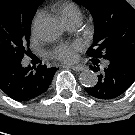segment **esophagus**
<instances>
[{"mask_svg": "<svg viewBox=\"0 0 135 135\" xmlns=\"http://www.w3.org/2000/svg\"><path fill=\"white\" fill-rule=\"evenodd\" d=\"M70 68L74 71L80 72V71L84 70L85 67L82 65H76V66H70Z\"/></svg>", "mask_w": 135, "mask_h": 135, "instance_id": "obj_1", "label": "esophagus"}]
</instances>
